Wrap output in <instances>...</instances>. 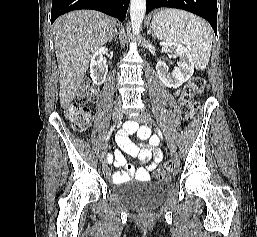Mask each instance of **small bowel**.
Masks as SVG:
<instances>
[{
    "instance_id": "obj_1",
    "label": "small bowel",
    "mask_w": 257,
    "mask_h": 237,
    "mask_svg": "<svg viewBox=\"0 0 257 237\" xmlns=\"http://www.w3.org/2000/svg\"><path fill=\"white\" fill-rule=\"evenodd\" d=\"M133 133H136L140 140H148L149 145L145 147L140 144L132 143L128 135ZM116 140L120 148L116 149L113 154L109 156L108 160L115 166H125V170L113 174L112 178L114 183H124L132 177L139 181H148L150 179V172L156 168L162 158L161 151L158 148V139L151 135L149 129L145 127L138 128L136 123L128 122L125 124ZM126 153L138 157L141 163H148L147 166L135 169L130 165H126Z\"/></svg>"
}]
</instances>
